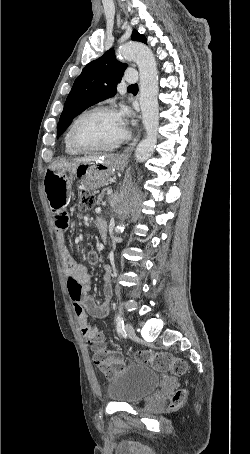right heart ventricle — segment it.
Returning a JSON list of instances; mask_svg holds the SVG:
<instances>
[{"mask_svg": "<svg viewBox=\"0 0 250 454\" xmlns=\"http://www.w3.org/2000/svg\"><path fill=\"white\" fill-rule=\"evenodd\" d=\"M71 128V127H70ZM70 128L67 130L66 134H65V137H64V143H65V148H66V152L68 154H71V155H76V154H79L80 152L77 151L71 144H70V141H69V132H70Z\"/></svg>", "mask_w": 250, "mask_h": 454, "instance_id": "obj_1", "label": "right heart ventricle"}]
</instances>
